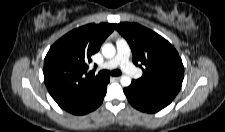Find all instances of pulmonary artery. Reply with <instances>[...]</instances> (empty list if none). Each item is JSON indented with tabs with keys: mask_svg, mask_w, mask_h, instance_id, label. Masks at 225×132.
Segmentation results:
<instances>
[{
	"mask_svg": "<svg viewBox=\"0 0 225 132\" xmlns=\"http://www.w3.org/2000/svg\"><path fill=\"white\" fill-rule=\"evenodd\" d=\"M117 53L116 55L103 63L101 68L111 69L116 66H120L128 74H135V69L132 64L129 62L130 48L127 41L123 38H119L116 41Z\"/></svg>",
	"mask_w": 225,
	"mask_h": 132,
	"instance_id": "obj_1",
	"label": "pulmonary artery"
}]
</instances>
